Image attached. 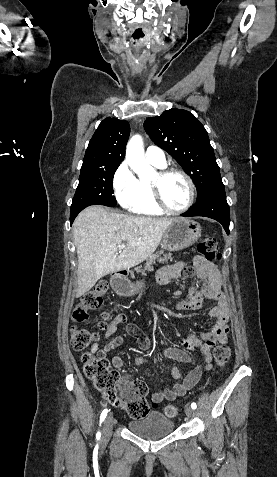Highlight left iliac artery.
<instances>
[{"label":"left iliac artery","mask_w":277,"mask_h":477,"mask_svg":"<svg viewBox=\"0 0 277 477\" xmlns=\"http://www.w3.org/2000/svg\"><path fill=\"white\" fill-rule=\"evenodd\" d=\"M191 407H192L193 409H196V407H197L196 403L193 402V403L191 404Z\"/></svg>","instance_id":"obj_1"}]
</instances>
